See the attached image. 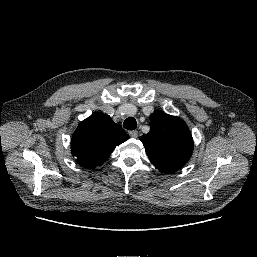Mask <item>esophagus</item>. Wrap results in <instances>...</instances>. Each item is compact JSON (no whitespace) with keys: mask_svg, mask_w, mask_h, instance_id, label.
Returning <instances> with one entry per match:
<instances>
[{"mask_svg":"<svg viewBox=\"0 0 257 257\" xmlns=\"http://www.w3.org/2000/svg\"><path fill=\"white\" fill-rule=\"evenodd\" d=\"M129 135L133 138H136L138 136V132L136 130L129 131Z\"/></svg>","mask_w":257,"mask_h":257,"instance_id":"34e87169","label":"esophagus"}]
</instances>
